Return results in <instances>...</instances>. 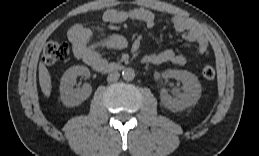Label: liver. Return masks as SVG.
Wrapping results in <instances>:
<instances>
[{"mask_svg":"<svg viewBox=\"0 0 259 156\" xmlns=\"http://www.w3.org/2000/svg\"><path fill=\"white\" fill-rule=\"evenodd\" d=\"M39 83L43 94L49 97L52 89L51 76L43 62L39 63Z\"/></svg>","mask_w":259,"mask_h":156,"instance_id":"obj_1","label":"liver"}]
</instances>
